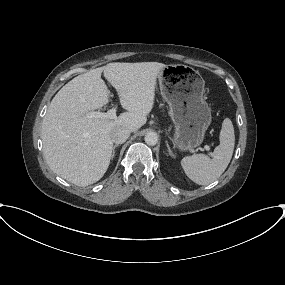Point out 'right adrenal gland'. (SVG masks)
I'll return each mask as SVG.
<instances>
[{
    "label": "right adrenal gland",
    "instance_id": "2a0ac1e0",
    "mask_svg": "<svg viewBox=\"0 0 285 285\" xmlns=\"http://www.w3.org/2000/svg\"><path fill=\"white\" fill-rule=\"evenodd\" d=\"M118 146H119L118 144H116V145L113 146V149H112V156H111L112 159H113L114 156H115V149H116V147H118Z\"/></svg>",
    "mask_w": 285,
    "mask_h": 285
}]
</instances>
